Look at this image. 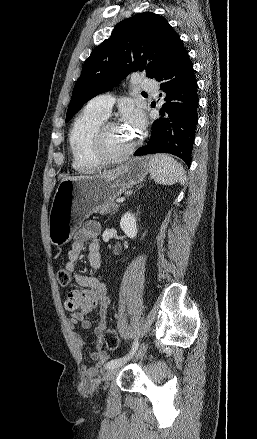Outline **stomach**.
<instances>
[{
  "label": "stomach",
  "mask_w": 257,
  "mask_h": 439,
  "mask_svg": "<svg viewBox=\"0 0 257 439\" xmlns=\"http://www.w3.org/2000/svg\"><path fill=\"white\" fill-rule=\"evenodd\" d=\"M149 169L150 158L137 157L99 175L61 181L49 214L51 242L55 245L67 243L81 222L98 206L142 182Z\"/></svg>",
  "instance_id": "stomach-1"
}]
</instances>
